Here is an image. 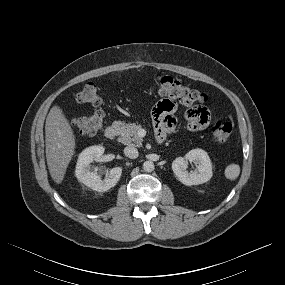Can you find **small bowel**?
Listing matches in <instances>:
<instances>
[{
	"instance_id": "small-bowel-1",
	"label": "small bowel",
	"mask_w": 285,
	"mask_h": 285,
	"mask_svg": "<svg viewBox=\"0 0 285 285\" xmlns=\"http://www.w3.org/2000/svg\"><path fill=\"white\" fill-rule=\"evenodd\" d=\"M180 108V101L172 95H165L152 111L156 133L163 137L175 129L173 113ZM187 127L190 131H201L210 123V113L204 107H192L186 111Z\"/></svg>"
}]
</instances>
